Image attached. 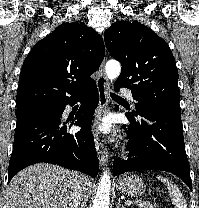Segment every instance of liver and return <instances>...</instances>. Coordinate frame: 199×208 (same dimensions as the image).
<instances>
[{
  "label": "liver",
  "instance_id": "1",
  "mask_svg": "<svg viewBox=\"0 0 199 208\" xmlns=\"http://www.w3.org/2000/svg\"><path fill=\"white\" fill-rule=\"evenodd\" d=\"M78 173L57 165L38 163L20 171L8 187L7 208H68ZM86 200L94 183L83 176Z\"/></svg>",
  "mask_w": 199,
  "mask_h": 208
}]
</instances>
